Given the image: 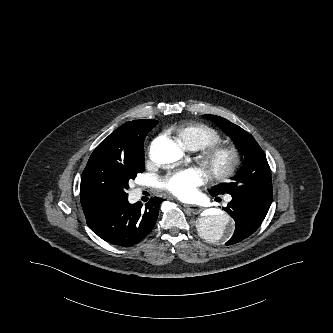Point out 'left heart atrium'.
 <instances>
[{
    "label": "left heart atrium",
    "mask_w": 333,
    "mask_h": 333,
    "mask_svg": "<svg viewBox=\"0 0 333 333\" xmlns=\"http://www.w3.org/2000/svg\"><path fill=\"white\" fill-rule=\"evenodd\" d=\"M205 182L204 173L197 168L175 171L166 176L161 187L180 199H191L196 195L197 187Z\"/></svg>",
    "instance_id": "left-heart-atrium-1"
}]
</instances>
